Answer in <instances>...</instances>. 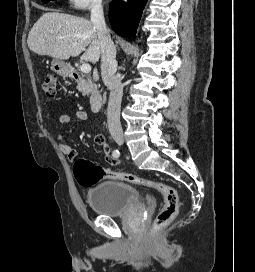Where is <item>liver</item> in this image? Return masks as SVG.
Instances as JSON below:
<instances>
[{"instance_id": "liver-1", "label": "liver", "mask_w": 255, "mask_h": 272, "mask_svg": "<svg viewBox=\"0 0 255 272\" xmlns=\"http://www.w3.org/2000/svg\"><path fill=\"white\" fill-rule=\"evenodd\" d=\"M96 32L93 23L85 18L46 12L29 32L27 44L38 55L60 60L76 57L84 51L81 60L95 64L101 55Z\"/></svg>"}]
</instances>
